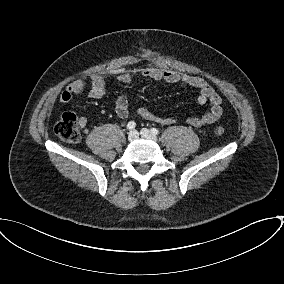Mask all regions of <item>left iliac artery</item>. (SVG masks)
Instances as JSON below:
<instances>
[{"mask_svg":"<svg viewBox=\"0 0 284 284\" xmlns=\"http://www.w3.org/2000/svg\"><path fill=\"white\" fill-rule=\"evenodd\" d=\"M152 134L154 135H158L159 134V130L157 128H152L151 129Z\"/></svg>","mask_w":284,"mask_h":284,"instance_id":"44dca946","label":"left iliac artery"}]
</instances>
